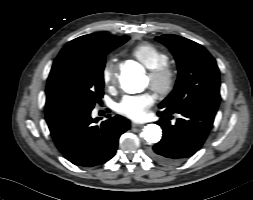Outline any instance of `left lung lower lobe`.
<instances>
[{
  "label": "left lung lower lobe",
  "mask_w": 253,
  "mask_h": 200,
  "mask_svg": "<svg viewBox=\"0 0 253 200\" xmlns=\"http://www.w3.org/2000/svg\"><path fill=\"white\" fill-rule=\"evenodd\" d=\"M171 114L166 110L158 113L161 117L157 124L163 130L160 142L149 150L154 160L163 164H175L192 156L206 140L215 118L216 111L194 109L180 111L175 125H171Z\"/></svg>",
  "instance_id": "obj_1"
}]
</instances>
